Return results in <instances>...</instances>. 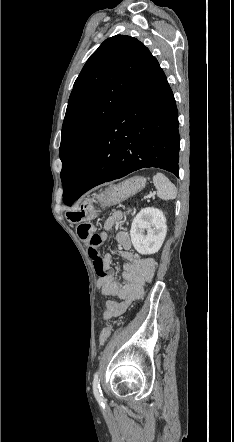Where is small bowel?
Instances as JSON below:
<instances>
[{
	"label": "small bowel",
	"mask_w": 234,
	"mask_h": 442,
	"mask_svg": "<svg viewBox=\"0 0 234 442\" xmlns=\"http://www.w3.org/2000/svg\"><path fill=\"white\" fill-rule=\"evenodd\" d=\"M125 218V214L116 211L111 214L104 223V231L99 235L101 246L108 238L109 231ZM119 247V255L124 259L123 272L119 279L111 268L112 255L104 257L98 254L96 247L89 249L88 253L93 261L96 273L99 276L97 287L101 294L107 297H115L119 300L109 299L106 301L103 318L110 320L123 314L134 300L142 297L144 288L155 272V262L151 258H143L131 252V239L127 231L119 230L116 234Z\"/></svg>",
	"instance_id": "obj_1"
}]
</instances>
